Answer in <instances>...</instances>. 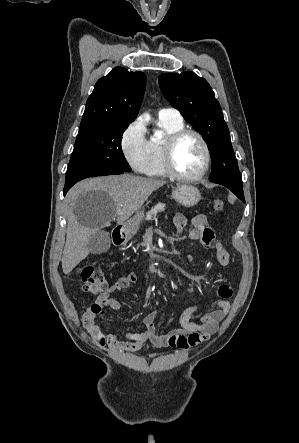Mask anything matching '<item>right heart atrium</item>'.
<instances>
[{
	"instance_id": "right-heart-atrium-1",
	"label": "right heart atrium",
	"mask_w": 299,
	"mask_h": 443,
	"mask_svg": "<svg viewBox=\"0 0 299 443\" xmlns=\"http://www.w3.org/2000/svg\"><path fill=\"white\" fill-rule=\"evenodd\" d=\"M120 147L129 165L135 171L143 172L148 159V140L145 126L140 120L131 122L123 130Z\"/></svg>"
}]
</instances>
